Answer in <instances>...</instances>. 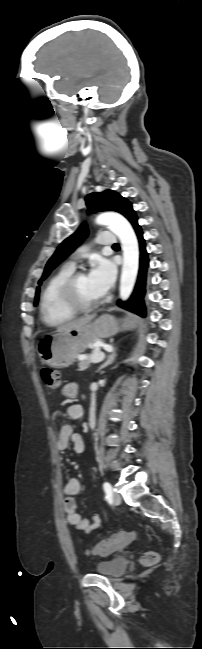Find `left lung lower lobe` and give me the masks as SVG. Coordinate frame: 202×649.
Here are the masks:
<instances>
[{"label":"left lung lower lobe","instance_id":"1","mask_svg":"<svg viewBox=\"0 0 202 649\" xmlns=\"http://www.w3.org/2000/svg\"><path fill=\"white\" fill-rule=\"evenodd\" d=\"M129 221L133 229L135 230V233L139 241V247H140L139 276H138L137 284L135 286V290L131 298L126 302L118 301V305L141 317H145L146 311H145L143 297L145 295V281H146V272L149 265V259H148V253L146 252L145 249V241L143 239L142 229L137 222V216L136 215L132 216V218Z\"/></svg>","mask_w":202,"mask_h":649}]
</instances>
